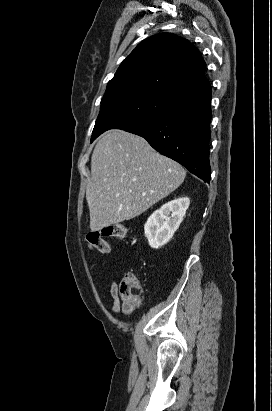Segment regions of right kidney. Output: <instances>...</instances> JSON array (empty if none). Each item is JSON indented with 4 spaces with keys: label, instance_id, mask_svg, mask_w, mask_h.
Listing matches in <instances>:
<instances>
[{
    "label": "right kidney",
    "instance_id": "right-kidney-1",
    "mask_svg": "<svg viewBox=\"0 0 272 411\" xmlns=\"http://www.w3.org/2000/svg\"><path fill=\"white\" fill-rule=\"evenodd\" d=\"M189 204L188 197L177 198L161 206L148 218L144 231L151 248L158 249L169 242L179 228Z\"/></svg>",
    "mask_w": 272,
    "mask_h": 411
}]
</instances>
